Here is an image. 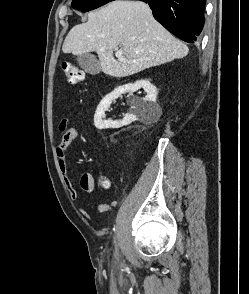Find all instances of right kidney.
Here are the masks:
<instances>
[{
	"instance_id": "ca27d5eb",
	"label": "right kidney",
	"mask_w": 249,
	"mask_h": 294,
	"mask_svg": "<svg viewBox=\"0 0 249 294\" xmlns=\"http://www.w3.org/2000/svg\"><path fill=\"white\" fill-rule=\"evenodd\" d=\"M144 89L146 96L143 98L133 97L130 101L131 109L122 120H105V111L111 103L125 93H133ZM157 89L147 79H141L135 83H128L116 88L113 92L106 95L98 105L94 115V125L97 129L120 128L130 124L135 120L142 122L156 121L161 114L160 106L156 103Z\"/></svg>"
}]
</instances>
